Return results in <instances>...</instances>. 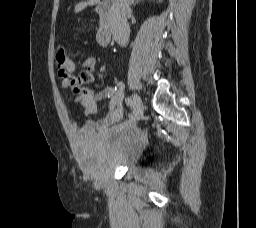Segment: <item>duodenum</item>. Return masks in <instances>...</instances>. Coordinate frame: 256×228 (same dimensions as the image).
I'll use <instances>...</instances> for the list:
<instances>
[{"mask_svg":"<svg viewBox=\"0 0 256 228\" xmlns=\"http://www.w3.org/2000/svg\"><path fill=\"white\" fill-rule=\"evenodd\" d=\"M96 11L100 18L97 41L101 46H108L112 41L114 13L110 2H100Z\"/></svg>","mask_w":256,"mask_h":228,"instance_id":"duodenum-1","label":"duodenum"}]
</instances>
